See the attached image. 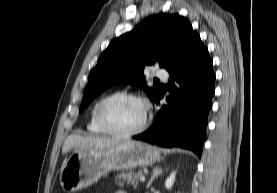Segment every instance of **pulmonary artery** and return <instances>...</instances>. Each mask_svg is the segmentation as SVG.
<instances>
[{
	"mask_svg": "<svg viewBox=\"0 0 277 193\" xmlns=\"http://www.w3.org/2000/svg\"><path fill=\"white\" fill-rule=\"evenodd\" d=\"M156 76L160 79L166 80L168 78V72L166 70H158Z\"/></svg>",
	"mask_w": 277,
	"mask_h": 193,
	"instance_id": "pulmonary-artery-1",
	"label": "pulmonary artery"
}]
</instances>
